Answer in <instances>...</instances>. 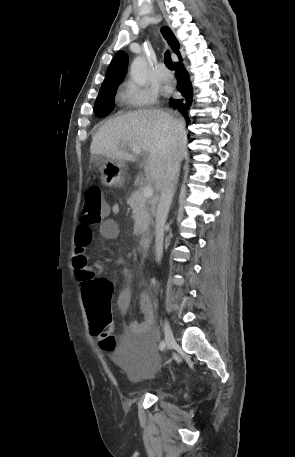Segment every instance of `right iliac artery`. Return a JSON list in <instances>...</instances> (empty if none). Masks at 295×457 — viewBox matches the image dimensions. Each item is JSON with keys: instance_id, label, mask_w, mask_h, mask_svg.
Masks as SVG:
<instances>
[{"instance_id": "1", "label": "right iliac artery", "mask_w": 295, "mask_h": 457, "mask_svg": "<svg viewBox=\"0 0 295 457\" xmlns=\"http://www.w3.org/2000/svg\"><path fill=\"white\" fill-rule=\"evenodd\" d=\"M165 348V342L164 341H161L160 342V345H159V349L160 350H163Z\"/></svg>"}]
</instances>
